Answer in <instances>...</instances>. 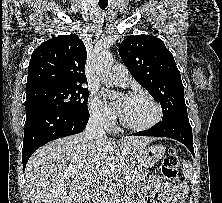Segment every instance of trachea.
Instances as JSON below:
<instances>
[{"mask_svg":"<svg viewBox=\"0 0 222 203\" xmlns=\"http://www.w3.org/2000/svg\"><path fill=\"white\" fill-rule=\"evenodd\" d=\"M99 7L104 10L107 7V4H99Z\"/></svg>","mask_w":222,"mask_h":203,"instance_id":"trachea-1","label":"trachea"}]
</instances>
